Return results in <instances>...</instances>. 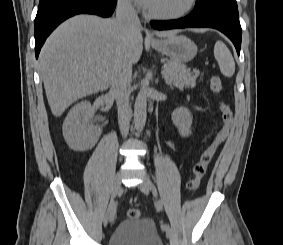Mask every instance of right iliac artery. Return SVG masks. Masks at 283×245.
Wrapping results in <instances>:
<instances>
[{"mask_svg":"<svg viewBox=\"0 0 283 245\" xmlns=\"http://www.w3.org/2000/svg\"><path fill=\"white\" fill-rule=\"evenodd\" d=\"M109 207L111 209V220L113 221L116 215V202L114 201L113 198L110 201Z\"/></svg>","mask_w":283,"mask_h":245,"instance_id":"right-iliac-artery-1","label":"right iliac artery"}]
</instances>
